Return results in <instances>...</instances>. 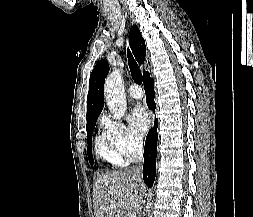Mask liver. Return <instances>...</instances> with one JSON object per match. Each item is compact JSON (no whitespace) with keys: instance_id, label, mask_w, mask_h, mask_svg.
<instances>
[{"instance_id":"1","label":"liver","mask_w":253,"mask_h":217,"mask_svg":"<svg viewBox=\"0 0 253 217\" xmlns=\"http://www.w3.org/2000/svg\"><path fill=\"white\" fill-rule=\"evenodd\" d=\"M135 181L126 171L97 175L92 191L95 217H121L122 212L125 217H137L143 204L139 196L146 186Z\"/></svg>"}]
</instances>
